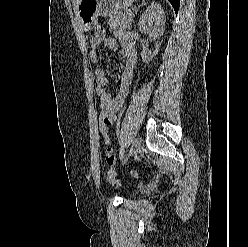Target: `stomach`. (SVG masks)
I'll list each match as a JSON object with an SVG mask.
<instances>
[{
    "instance_id": "1",
    "label": "stomach",
    "mask_w": 248,
    "mask_h": 247,
    "mask_svg": "<svg viewBox=\"0 0 248 247\" xmlns=\"http://www.w3.org/2000/svg\"><path fill=\"white\" fill-rule=\"evenodd\" d=\"M137 0H80L76 6V16L86 31L97 24L98 17H107L118 9H125Z\"/></svg>"
}]
</instances>
